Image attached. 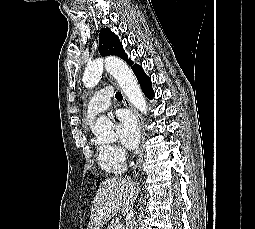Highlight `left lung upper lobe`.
Segmentation results:
<instances>
[{
    "instance_id": "5c2ea615",
    "label": "left lung upper lobe",
    "mask_w": 255,
    "mask_h": 229,
    "mask_svg": "<svg viewBox=\"0 0 255 229\" xmlns=\"http://www.w3.org/2000/svg\"><path fill=\"white\" fill-rule=\"evenodd\" d=\"M99 53L102 56L115 55L124 59L129 65H133V62L128 59V56L124 52L119 38L107 28H102L99 34Z\"/></svg>"
}]
</instances>
